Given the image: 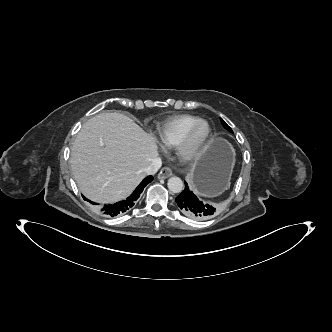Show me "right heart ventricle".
I'll return each instance as SVG.
<instances>
[{
	"label": "right heart ventricle",
	"instance_id": "1",
	"mask_svg": "<svg viewBox=\"0 0 332 332\" xmlns=\"http://www.w3.org/2000/svg\"><path fill=\"white\" fill-rule=\"evenodd\" d=\"M199 120L193 115H179L165 120L156 128V135L160 143L167 147H175L184 134Z\"/></svg>",
	"mask_w": 332,
	"mask_h": 332
}]
</instances>
